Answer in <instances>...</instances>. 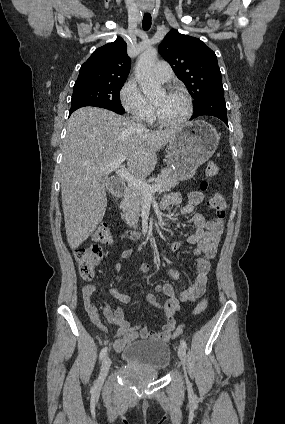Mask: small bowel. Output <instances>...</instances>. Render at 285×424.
Returning a JSON list of instances; mask_svg holds the SVG:
<instances>
[{
  "label": "small bowel",
  "instance_id": "1",
  "mask_svg": "<svg viewBox=\"0 0 285 424\" xmlns=\"http://www.w3.org/2000/svg\"><path fill=\"white\" fill-rule=\"evenodd\" d=\"M181 202V195L178 192H170L163 196L161 201V209L167 211L170 208L177 206ZM205 196L200 191H190L187 194V200L181 209V216H191L186 222L192 226L193 231L186 237L185 241H175L170 244L172 251L178 250L184 245L200 246L206 237V229L208 223L205 220L203 209L194 212L195 208L204 205ZM199 252V250H198ZM133 255L132 249H125L121 252L119 259L115 265V270L119 274L121 272L122 262ZM149 269L148 264L141 267L142 272ZM210 271L209 258L205 256H197L196 258V275L192 284L181 283L178 289H175L171 284L156 285L154 293H148L146 300L148 304L158 309L163 314V324L159 331L150 330L146 325L133 326L124 317V312L121 308L112 309L106 302L103 305L104 317L113 325L116 326L114 334L113 347L116 351H122L126 344L135 341L138 338L151 339L167 342L171 339L173 332L176 329V322L173 318L174 314L180 309L181 303L192 302L200 298L206 289L208 273ZM167 274L171 279L177 280L181 276V271L169 267ZM95 284H86L82 289L83 302L85 310L91 322L101 330H105L102 323L97 306L93 301V295L96 292ZM110 294L120 303L129 304L131 298L118 291L111 289ZM164 294L167 296L165 300H158L157 295ZM175 336V335H174Z\"/></svg>",
  "mask_w": 285,
  "mask_h": 424
}]
</instances>
